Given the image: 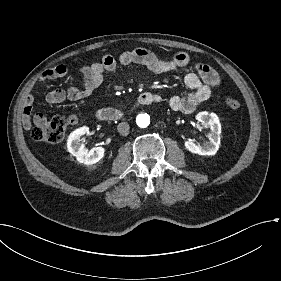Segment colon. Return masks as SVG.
<instances>
[{"instance_id": "obj_1", "label": "colon", "mask_w": 281, "mask_h": 281, "mask_svg": "<svg viewBox=\"0 0 281 281\" xmlns=\"http://www.w3.org/2000/svg\"><path fill=\"white\" fill-rule=\"evenodd\" d=\"M225 104L231 109L240 107V101L233 97L226 98ZM68 122L67 117L55 116L47 121L39 122L29 127L30 134L37 141L58 143L65 136Z\"/></svg>"}]
</instances>
